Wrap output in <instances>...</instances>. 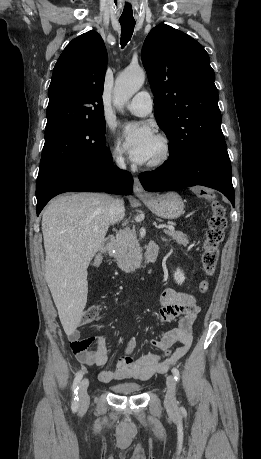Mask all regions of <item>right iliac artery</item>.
Returning <instances> with one entry per match:
<instances>
[{
	"mask_svg": "<svg viewBox=\"0 0 261 459\" xmlns=\"http://www.w3.org/2000/svg\"><path fill=\"white\" fill-rule=\"evenodd\" d=\"M83 377V372H79L73 382L72 391H73V400H72V409L76 411L79 407V398H78V389L79 383Z\"/></svg>",
	"mask_w": 261,
	"mask_h": 459,
	"instance_id": "82829eb1",
	"label": "right iliac artery"
}]
</instances>
